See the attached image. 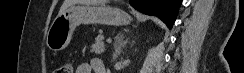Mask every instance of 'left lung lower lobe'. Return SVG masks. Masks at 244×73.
<instances>
[{
    "instance_id": "obj_1",
    "label": "left lung lower lobe",
    "mask_w": 244,
    "mask_h": 73,
    "mask_svg": "<svg viewBox=\"0 0 244 73\" xmlns=\"http://www.w3.org/2000/svg\"><path fill=\"white\" fill-rule=\"evenodd\" d=\"M136 10L159 17L171 29L182 0H129Z\"/></svg>"
}]
</instances>
